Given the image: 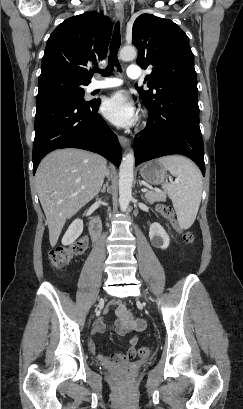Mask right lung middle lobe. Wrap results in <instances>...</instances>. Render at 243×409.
<instances>
[{
    "label": "right lung middle lobe",
    "mask_w": 243,
    "mask_h": 409,
    "mask_svg": "<svg viewBox=\"0 0 243 409\" xmlns=\"http://www.w3.org/2000/svg\"><path fill=\"white\" fill-rule=\"evenodd\" d=\"M86 85L88 84H83L64 76H52L39 79L36 102L56 97H67L86 101L84 99V86Z\"/></svg>",
    "instance_id": "dd1d6c3e"
}]
</instances>
